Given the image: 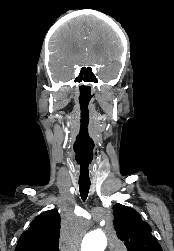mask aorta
<instances>
[{
    "mask_svg": "<svg viewBox=\"0 0 174 251\" xmlns=\"http://www.w3.org/2000/svg\"><path fill=\"white\" fill-rule=\"evenodd\" d=\"M112 240V245L114 244ZM107 246V238L102 231H93L88 233L82 242V251H104Z\"/></svg>",
    "mask_w": 174,
    "mask_h": 251,
    "instance_id": "aorta-1",
    "label": "aorta"
}]
</instances>
